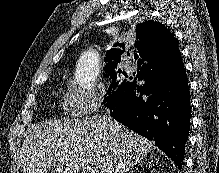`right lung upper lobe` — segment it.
<instances>
[{
  "instance_id": "cb5924a9",
  "label": "right lung upper lobe",
  "mask_w": 219,
  "mask_h": 173,
  "mask_svg": "<svg viewBox=\"0 0 219 173\" xmlns=\"http://www.w3.org/2000/svg\"><path fill=\"white\" fill-rule=\"evenodd\" d=\"M114 46L124 48L125 45L122 43L115 44ZM124 51L125 49L122 51L115 48L107 51L104 57L106 62L105 70L106 68L119 69ZM131 53L134 55L135 60L138 59L140 64L150 60L152 57L153 60L159 61L160 64L163 63L164 65H173L178 59H181L178 40L166 26L153 21L137 25L134 50ZM127 55H130L129 50Z\"/></svg>"
}]
</instances>
